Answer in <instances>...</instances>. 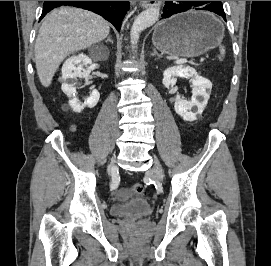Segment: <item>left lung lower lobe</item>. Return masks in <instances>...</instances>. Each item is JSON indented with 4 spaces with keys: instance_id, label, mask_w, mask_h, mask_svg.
Returning a JSON list of instances; mask_svg holds the SVG:
<instances>
[{
    "instance_id": "left-lung-lower-lobe-1",
    "label": "left lung lower lobe",
    "mask_w": 271,
    "mask_h": 266,
    "mask_svg": "<svg viewBox=\"0 0 271 266\" xmlns=\"http://www.w3.org/2000/svg\"><path fill=\"white\" fill-rule=\"evenodd\" d=\"M191 9L214 12L223 17V19L226 21V16L221 1H165L162 19Z\"/></svg>"
}]
</instances>
